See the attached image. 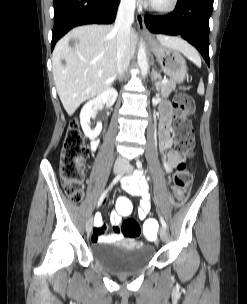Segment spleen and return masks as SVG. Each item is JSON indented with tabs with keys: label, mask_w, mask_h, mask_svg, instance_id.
I'll return each mask as SVG.
<instances>
[{
	"label": "spleen",
	"mask_w": 247,
	"mask_h": 304,
	"mask_svg": "<svg viewBox=\"0 0 247 304\" xmlns=\"http://www.w3.org/2000/svg\"><path fill=\"white\" fill-rule=\"evenodd\" d=\"M193 63H195L197 66H201V59L199 57L198 54H191L189 57H188ZM204 83H203V80L201 79L200 80V83H199V86H198V89H197V92L198 94L200 95H203L204 94Z\"/></svg>",
	"instance_id": "obj_1"
}]
</instances>
